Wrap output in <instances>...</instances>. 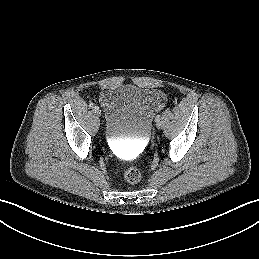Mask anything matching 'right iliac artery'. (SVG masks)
I'll use <instances>...</instances> for the list:
<instances>
[{
	"label": "right iliac artery",
	"mask_w": 259,
	"mask_h": 259,
	"mask_svg": "<svg viewBox=\"0 0 259 259\" xmlns=\"http://www.w3.org/2000/svg\"><path fill=\"white\" fill-rule=\"evenodd\" d=\"M90 106H91V107H94L92 103L90 104Z\"/></svg>",
	"instance_id": "1"
}]
</instances>
